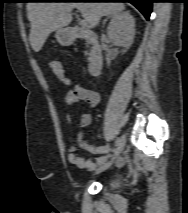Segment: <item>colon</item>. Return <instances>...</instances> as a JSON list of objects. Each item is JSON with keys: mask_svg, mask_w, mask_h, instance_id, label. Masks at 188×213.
<instances>
[{"mask_svg": "<svg viewBox=\"0 0 188 213\" xmlns=\"http://www.w3.org/2000/svg\"><path fill=\"white\" fill-rule=\"evenodd\" d=\"M50 67H51L53 73L59 79H62V80L66 79V74H65L64 67H63V65L59 61H57V60H51L50 61Z\"/></svg>", "mask_w": 188, "mask_h": 213, "instance_id": "1", "label": "colon"}]
</instances>
